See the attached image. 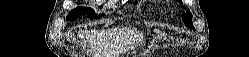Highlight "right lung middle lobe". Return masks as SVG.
Listing matches in <instances>:
<instances>
[{
    "instance_id": "1",
    "label": "right lung middle lobe",
    "mask_w": 249,
    "mask_h": 57,
    "mask_svg": "<svg viewBox=\"0 0 249 57\" xmlns=\"http://www.w3.org/2000/svg\"><path fill=\"white\" fill-rule=\"evenodd\" d=\"M81 14L83 15L87 14V16L90 18H100L104 15V14L95 15L94 11L91 8L77 7L69 13V15L67 16V20H70V21L75 20Z\"/></svg>"
}]
</instances>
